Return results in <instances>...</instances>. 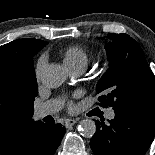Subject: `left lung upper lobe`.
I'll list each match as a JSON object with an SVG mask.
<instances>
[{"label": "left lung upper lobe", "mask_w": 155, "mask_h": 155, "mask_svg": "<svg viewBox=\"0 0 155 155\" xmlns=\"http://www.w3.org/2000/svg\"><path fill=\"white\" fill-rule=\"evenodd\" d=\"M109 68L97 84L101 106L115 111L136 104L155 103V76L140 45L127 34L108 35Z\"/></svg>", "instance_id": "1"}]
</instances>
